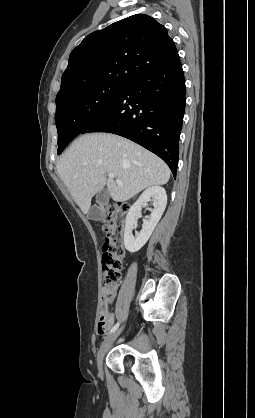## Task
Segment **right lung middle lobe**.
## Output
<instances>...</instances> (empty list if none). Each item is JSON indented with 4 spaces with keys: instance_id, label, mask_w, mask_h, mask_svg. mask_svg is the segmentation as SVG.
Wrapping results in <instances>:
<instances>
[{
    "instance_id": "obj_1",
    "label": "right lung middle lobe",
    "mask_w": 255,
    "mask_h": 418,
    "mask_svg": "<svg viewBox=\"0 0 255 418\" xmlns=\"http://www.w3.org/2000/svg\"><path fill=\"white\" fill-rule=\"evenodd\" d=\"M127 85L117 82H97L57 95L55 122L58 131V154L99 117Z\"/></svg>"
}]
</instances>
